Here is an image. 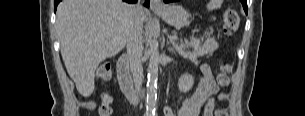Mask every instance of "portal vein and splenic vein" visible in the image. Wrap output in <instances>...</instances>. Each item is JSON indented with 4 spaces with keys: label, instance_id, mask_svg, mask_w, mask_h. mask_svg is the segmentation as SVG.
Returning a JSON list of instances; mask_svg holds the SVG:
<instances>
[{
    "label": "portal vein and splenic vein",
    "instance_id": "portal-vein-and-splenic-vein-1",
    "mask_svg": "<svg viewBox=\"0 0 305 116\" xmlns=\"http://www.w3.org/2000/svg\"><path fill=\"white\" fill-rule=\"evenodd\" d=\"M170 39H171V41H174L175 38L174 37H170Z\"/></svg>",
    "mask_w": 305,
    "mask_h": 116
}]
</instances>
